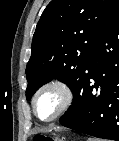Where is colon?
I'll list each match as a JSON object with an SVG mask.
<instances>
[{
  "label": "colon",
  "instance_id": "5ec220e1",
  "mask_svg": "<svg viewBox=\"0 0 119 141\" xmlns=\"http://www.w3.org/2000/svg\"><path fill=\"white\" fill-rule=\"evenodd\" d=\"M35 141H55V140L50 137L43 136V135H37L35 137Z\"/></svg>",
  "mask_w": 119,
  "mask_h": 141
}]
</instances>
